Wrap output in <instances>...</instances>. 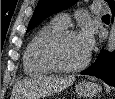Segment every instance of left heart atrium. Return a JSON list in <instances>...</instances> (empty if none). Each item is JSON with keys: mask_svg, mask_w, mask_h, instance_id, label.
<instances>
[{"mask_svg": "<svg viewBox=\"0 0 115 99\" xmlns=\"http://www.w3.org/2000/svg\"><path fill=\"white\" fill-rule=\"evenodd\" d=\"M78 37L84 50L88 54L94 45V35L92 28L90 26H85L78 34Z\"/></svg>", "mask_w": 115, "mask_h": 99, "instance_id": "1", "label": "left heart atrium"}]
</instances>
